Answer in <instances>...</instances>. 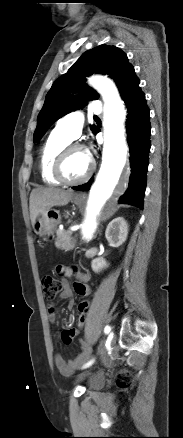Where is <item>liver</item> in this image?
I'll list each match as a JSON object with an SVG mask.
<instances>
[{
	"mask_svg": "<svg viewBox=\"0 0 183 438\" xmlns=\"http://www.w3.org/2000/svg\"><path fill=\"white\" fill-rule=\"evenodd\" d=\"M74 192L58 188H38L30 194V218L32 225L39 216L48 208L67 205Z\"/></svg>",
	"mask_w": 183,
	"mask_h": 438,
	"instance_id": "1",
	"label": "liver"
}]
</instances>
